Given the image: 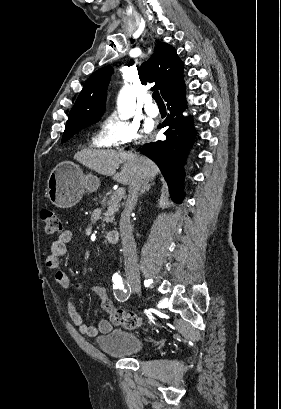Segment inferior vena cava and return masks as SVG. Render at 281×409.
Here are the masks:
<instances>
[{
  "label": "inferior vena cava",
  "mask_w": 281,
  "mask_h": 409,
  "mask_svg": "<svg viewBox=\"0 0 281 409\" xmlns=\"http://www.w3.org/2000/svg\"><path fill=\"white\" fill-rule=\"evenodd\" d=\"M145 174L142 168L141 160L134 162V176L129 184V200H136L139 190L144 182ZM131 209L124 211L119 227L122 239L123 257L125 263L126 279L129 283L132 281H139V269L136 253V243L134 241L132 227L130 223Z\"/></svg>",
  "instance_id": "inferior-vena-cava-1"
}]
</instances>
